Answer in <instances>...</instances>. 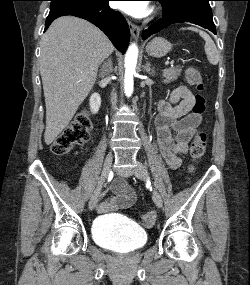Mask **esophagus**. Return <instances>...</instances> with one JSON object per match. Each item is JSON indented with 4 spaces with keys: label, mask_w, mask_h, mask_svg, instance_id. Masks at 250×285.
Masks as SVG:
<instances>
[{
    "label": "esophagus",
    "mask_w": 250,
    "mask_h": 285,
    "mask_svg": "<svg viewBox=\"0 0 250 285\" xmlns=\"http://www.w3.org/2000/svg\"><path fill=\"white\" fill-rule=\"evenodd\" d=\"M130 33L134 39H138L140 34V27L132 22H129Z\"/></svg>",
    "instance_id": "obj_1"
}]
</instances>
